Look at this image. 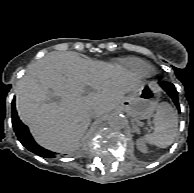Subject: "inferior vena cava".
Returning <instances> with one entry per match:
<instances>
[{"label": "inferior vena cava", "instance_id": "inferior-vena-cava-1", "mask_svg": "<svg viewBox=\"0 0 194 193\" xmlns=\"http://www.w3.org/2000/svg\"><path fill=\"white\" fill-rule=\"evenodd\" d=\"M88 116H89L90 119L93 120L97 117V113L96 112H90Z\"/></svg>", "mask_w": 194, "mask_h": 193}]
</instances>
